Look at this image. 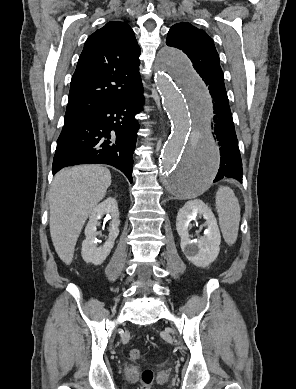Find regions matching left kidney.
<instances>
[{
  "label": "left kidney",
  "mask_w": 296,
  "mask_h": 389,
  "mask_svg": "<svg viewBox=\"0 0 296 389\" xmlns=\"http://www.w3.org/2000/svg\"><path fill=\"white\" fill-rule=\"evenodd\" d=\"M198 215L206 220L207 228L204 236L191 240L188 232L189 224ZM176 229L181 238V250L191 263L205 268L216 260L220 251V231L213 212L203 201L196 199L185 203L177 214Z\"/></svg>",
  "instance_id": "left-kidney-1"
}]
</instances>
